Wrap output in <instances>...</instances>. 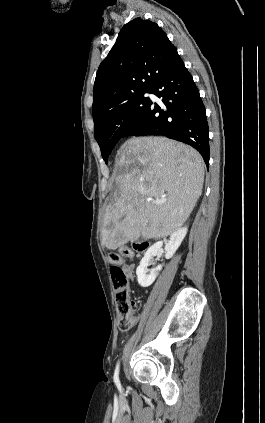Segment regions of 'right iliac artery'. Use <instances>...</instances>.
Instances as JSON below:
<instances>
[{"label":"right iliac artery","instance_id":"1","mask_svg":"<svg viewBox=\"0 0 265 423\" xmlns=\"http://www.w3.org/2000/svg\"><path fill=\"white\" fill-rule=\"evenodd\" d=\"M118 374H119V363H117V366H116V369H115V373H114V382H115L116 385L119 386L120 385V382H119Z\"/></svg>","mask_w":265,"mask_h":423}]
</instances>
